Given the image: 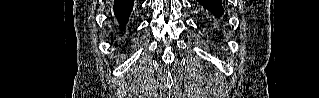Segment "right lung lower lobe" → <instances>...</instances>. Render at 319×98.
I'll list each match as a JSON object with an SVG mask.
<instances>
[{
	"mask_svg": "<svg viewBox=\"0 0 319 98\" xmlns=\"http://www.w3.org/2000/svg\"><path fill=\"white\" fill-rule=\"evenodd\" d=\"M133 3L134 0H115L114 2V16L122 28H124L131 14Z\"/></svg>",
	"mask_w": 319,
	"mask_h": 98,
	"instance_id": "98d812e1",
	"label": "right lung lower lobe"
}]
</instances>
